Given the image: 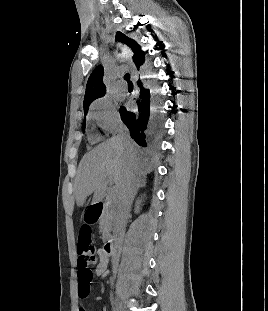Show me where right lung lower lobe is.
<instances>
[{"label": "right lung lower lobe", "mask_w": 268, "mask_h": 311, "mask_svg": "<svg viewBox=\"0 0 268 311\" xmlns=\"http://www.w3.org/2000/svg\"><path fill=\"white\" fill-rule=\"evenodd\" d=\"M140 95L137 100V111H128L121 106L119 111L121 119L130 130L131 137L137 144L146 147L155 142L162 132V116L158 106L160 100L150 90L143 87L139 79Z\"/></svg>", "instance_id": "obj_1"}]
</instances>
